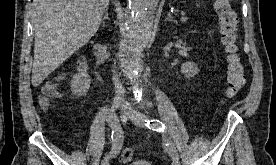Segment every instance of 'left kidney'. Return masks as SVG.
Instances as JSON below:
<instances>
[{
    "label": "left kidney",
    "mask_w": 276,
    "mask_h": 165,
    "mask_svg": "<svg viewBox=\"0 0 276 165\" xmlns=\"http://www.w3.org/2000/svg\"><path fill=\"white\" fill-rule=\"evenodd\" d=\"M198 66L193 61H187L181 65V73L184 75L185 78L190 79L198 74Z\"/></svg>",
    "instance_id": "5707ae66"
}]
</instances>
